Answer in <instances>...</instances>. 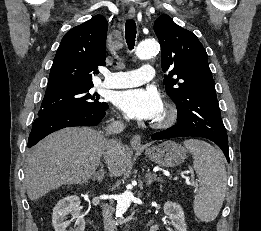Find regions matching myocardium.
I'll return each mask as SVG.
<instances>
[{
    "instance_id": "f54148a6",
    "label": "myocardium",
    "mask_w": 261,
    "mask_h": 231,
    "mask_svg": "<svg viewBox=\"0 0 261 231\" xmlns=\"http://www.w3.org/2000/svg\"><path fill=\"white\" fill-rule=\"evenodd\" d=\"M178 109L172 102H166L163 106L162 115L152 122L156 129H166L171 127L177 120Z\"/></svg>"
}]
</instances>
